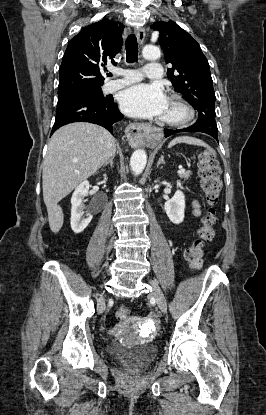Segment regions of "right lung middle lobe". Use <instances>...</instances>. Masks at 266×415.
<instances>
[{
	"label": "right lung middle lobe",
	"instance_id": "obj_1",
	"mask_svg": "<svg viewBox=\"0 0 266 415\" xmlns=\"http://www.w3.org/2000/svg\"><path fill=\"white\" fill-rule=\"evenodd\" d=\"M65 100H90L104 102L108 99L103 96L101 87H92L58 94V101Z\"/></svg>",
	"mask_w": 266,
	"mask_h": 415
}]
</instances>
